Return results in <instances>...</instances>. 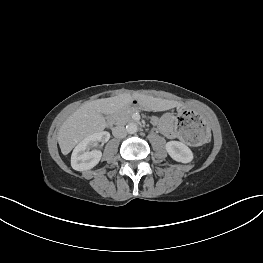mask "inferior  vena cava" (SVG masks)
<instances>
[{
  "mask_svg": "<svg viewBox=\"0 0 263 263\" xmlns=\"http://www.w3.org/2000/svg\"><path fill=\"white\" fill-rule=\"evenodd\" d=\"M112 134L116 138H123L126 136L127 131L124 126H116L113 128Z\"/></svg>",
  "mask_w": 263,
  "mask_h": 263,
  "instance_id": "602c4592",
  "label": "inferior vena cava"
}]
</instances>
